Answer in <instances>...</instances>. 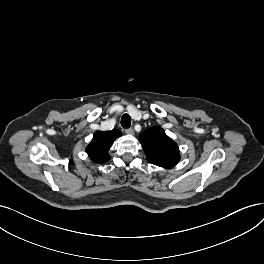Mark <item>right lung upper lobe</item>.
Wrapping results in <instances>:
<instances>
[{"instance_id": "1", "label": "right lung upper lobe", "mask_w": 264, "mask_h": 264, "mask_svg": "<svg viewBox=\"0 0 264 264\" xmlns=\"http://www.w3.org/2000/svg\"><path fill=\"white\" fill-rule=\"evenodd\" d=\"M121 135L122 133L119 130L94 133L92 142L86 148L87 154L98 163L108 161L110 159L108 151L114 140Z\"/></svg>"}]
</instances>
